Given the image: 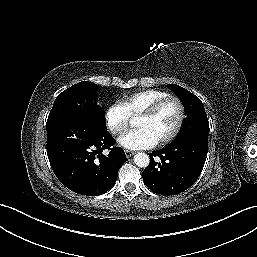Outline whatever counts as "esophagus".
<instances>
[{"instance_id":"34e87169","label":"esophagus","mask_w":257,"mask_h":257,"mask_svg":"<svg viewBox=\"0 0 257 257\" xmlns=\"http://www.w3.org/2000/svg\"><path fill=\"white\" fill-rule=\"evenodd\" d=\"M125 155L127 158L131 157L132 155H134V151L131 150H125Z\"/></svg>"}]
</instances>
